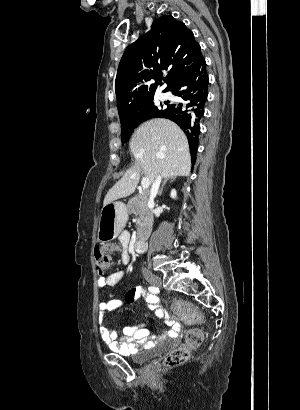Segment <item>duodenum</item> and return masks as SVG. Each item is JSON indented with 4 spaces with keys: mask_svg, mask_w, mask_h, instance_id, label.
<instances>
[{
    "mask_svg": "<svg viewBox=\"0 0 300 410\" xmlns=\"http://www.w3.org/2000/svg\"><path fill=\"white\" fill-rule=\"evenodd\" d=\"M147 238L140 237L133 243V250L137 253L144 251L146 247Z\"/></svg>",
    "mask_w": 300,
    "mask_h": 410,
    "instance_id": "1",
    "label": "duodenum"
}]
</instances>
